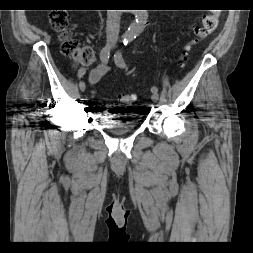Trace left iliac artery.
<instances>
[{
	"instance_id": "left-iliac-artery-1",
	"label": "left iliac artery",
	"mask_w": 253,
	"mask_h": 253,
	"mask_svg": "<svg viewBox=\"0 0 253 253\" xmlns=\"http://www.w3.org/2000/svg\"><path fill=\"white\" fill-rule=\"evenodd\" d=\"M129 42H130V40H124V46H127ZM115 62H116V64H117L119 67H121V68H125V67H126V63H125V61H124V58H123L121 52H117V53L115 54ZM151 91H152V92H158V88H157L156 86H153V87L151 88Z\"/></svg>"
}]
</instances>
